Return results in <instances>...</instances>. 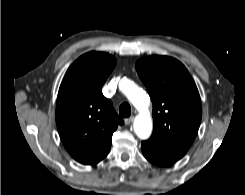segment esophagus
Segmentation results:
<instances>
[{
	"label": "esophagus",
	"instance_id": "esophagus-1",
	"mask_svg": "<svg viewBox=\"0 0 245 195\" xmlns=\"http://www.w3.org/2000/svg\"><path fill=\"white\" fill-rule=\"evenodd\" d=\"M133 120H134V117H132V116L129 117V118H126V119H125V124H126V125H130V124L133 122Z\"/></svg>",
	"mask_w": 245,
	"mask_h": 195
}]
</instances>
